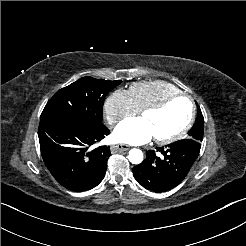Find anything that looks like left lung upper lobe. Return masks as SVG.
<instances>
[{
    "label": "left lung upper lobe",
    "mask_w": 246,
    "mask_h": 246,
    "mask_svg": "<svg viewBox=\"0 0 246 246\" xmlns=\"http://www.w3.org/2000/svg\"><path fill=\"white\" fill-rule=\"evenodd\" d=\"M197 104V102H196ZM197 117L196 122L193 125L192 129L189 131L187 139H192L197 142H201L203 140V132H204V118L200 107L197 106Z\"/></svg>",
    "instance_id": "left-lung-upper-lobe-1"
}]
</instances>
